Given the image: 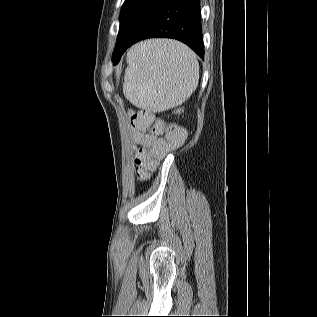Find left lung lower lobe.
Instances as JSON below:
<instances>
[{
	"instance_id": "0a47b994",
	"label": "left lung lower lobe",
	"mask_w": 317,
	"mask_h": 317,
	"mask_svg": "<svg viewBox=\"0 0 317 317\" xmlns=\"http://www.w3.org/2000/svg\"><path fill=\"white\" fill-rule=\"evenodd\" d=\"M155 37L177 39L204 59L199 0H165L130 41L116 45L114 64L133 44Z\"/></svg>"
}]
</instances>
